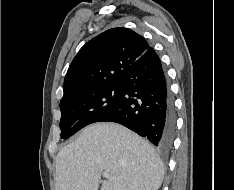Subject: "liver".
I'll use <instances>...</instances> for the list:
<instances>
[{"label":"liver","instance_id":"1","mask_svg":"<svg viewBox=\"0 0 234 190\" xmlns=\"http://www.w3.org/2000/svg\"><path fill=\"white\" fill-rule=\"evenodd\" d=\"M111 179L101 190H158L164 167L154 148L116 123H95L59 151L56 190H98L102 172Z\"/></svg>","mask_w":234,"mask_h":190}]
</instances>
